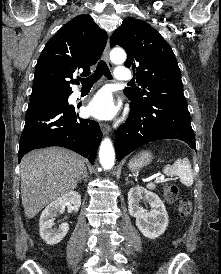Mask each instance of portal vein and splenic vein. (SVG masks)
Masks as SVG:
<instances>
[{"label": "portal vein and splenic vein", "instance_id": "18ae733b", "mask_svg": "<svg viewBox=\"0 0 221 274\" xmlns=\"http://www.w3.org/2000/svg\"><path fill=\"white\" fill-rule=\"evenodd\" d=\"M151 178H154V177H151ZM162 181H164V176H162V175L155 178L156 183H160Z\"/></svg>", "mask_w": 221, "mask_h": 274}]
</instances>
